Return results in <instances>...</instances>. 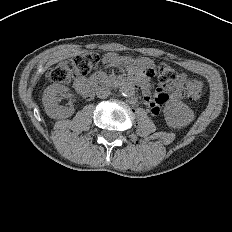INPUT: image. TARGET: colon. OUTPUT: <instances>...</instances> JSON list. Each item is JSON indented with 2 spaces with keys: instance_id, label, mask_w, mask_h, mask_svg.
Segmentation results:
<instances>
[{
  "instance_id": "1",
  "label": "colon",
  "mask_w": 232,
  "mask_h": 232,
  "mask_svg": "<svg viewBox=\"0 0 232 232\" xmlns=\"http://www.w3.org/2000/svg\"><path fill=\"white\" fill-rule=\"evenodd\" d=\"M99 56L94 53H86L58 64L50 73V79L54 83H68L87 75L96 68ZM175 71L167 64L158 66V79L165 87L176 80ZM186 93L190 100L196 101L202 97L203 85L200 81L191 80L186 86Z\"/></svg>"
}]
</instances>
